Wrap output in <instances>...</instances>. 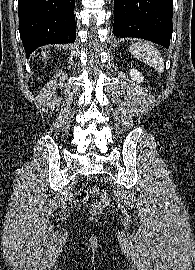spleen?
<instances>
[{
	"label": "spleen",
	"mask_w": 195,
	"mask_h": 270,
	"mask_svg": "<svg viewBox=\"0 0 195 270\" xmlns=\"http://www.w3.org/2000/svg\"><path fill=\"white\" fill-rule=\"evenodd\" d=\"M130 52L140 61L153 67L159 73L164 72V61L159 51L147 42H136L130 46Z\"/></svg>",
	"instance_id": "3e777b00"
}]
</instances>
